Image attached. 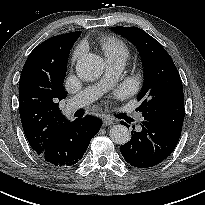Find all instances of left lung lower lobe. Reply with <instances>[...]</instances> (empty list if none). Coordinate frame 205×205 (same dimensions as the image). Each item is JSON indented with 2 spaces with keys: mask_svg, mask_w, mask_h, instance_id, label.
Wrapping results in <instances>:
<instances>
[{
  "mask_svg": "<svg viewBox=\"0 0 205 205\" xmlns=\"http://www.w3.org/2000/svg\"><path fill=\"white\" fill-rule=\"evenodd\" d=\"M184 114V108L161 109L156 115L144 117L142 130L131 132L130 141L120 147L125 161L138 168L161 163L179 141Z\"/></svg>",
  "mask_w": 205,
  "mask_h": 205,
  "instance_id": "obj_1",
  "label": "left lung lower lobe"
}]
</instances>
